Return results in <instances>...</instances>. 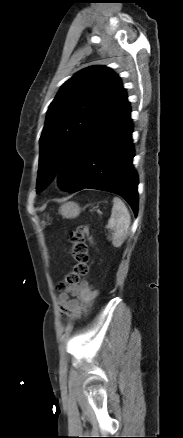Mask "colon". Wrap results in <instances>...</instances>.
Returning <instances> with one entry per match:
<instances>
[{"label":"colon","mask_w":183,"mask_h":438,"mask_svg":"<svg viewBox=\"0 0 183 438\" xmlns=\"http://www.w3.org/2000/svg\"><path fill=\"white\" fill-rule=\"evenodd\" d=\"M91 236L90 227L87 224L78 226L70 233V253L74 259L71 271L58 284L61 291H65L69 286L79 284L88 273V247L86 238Z\"/></svg>","instance_id":"5ec220e1"}]
</instances>
